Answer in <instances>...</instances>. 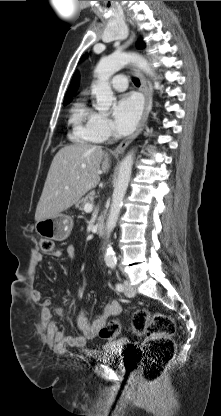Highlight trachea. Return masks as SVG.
Wrapping results in <instances>:
<instances>
[{"label":"trachea","instance_id":"obj_1","mask_svg":"<svg viewBox=\"0 0 221 416\" xmlns=\"http://www.w3.org/2000/svg\"><path fill=\"white\" fill-rule=\"evenodd\" d=\"M133 82H134V84H135L136 86H140V81H139V79L134 78V79H133Z\"/></svg>","mask_w":221,"mask_h":416}]
</instances>
